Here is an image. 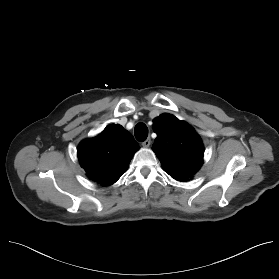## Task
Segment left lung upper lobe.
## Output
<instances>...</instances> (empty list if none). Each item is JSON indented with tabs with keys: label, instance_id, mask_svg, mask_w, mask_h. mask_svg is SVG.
<instances>
[{
	"label": "left lung upper lobe",
	"instance_id": "1",
	"mask_svg": "<svg viewBox=\"0 0 279 279\" xmlns=\"http://www.w3.org/2000/svg\"><path fill=\"white\" fill-rule=\"evenodd\" d=\"M157 138L153 151L166 173L178 181H188L203 163L204 147L201 138L186 122L170 114L153 121Z\"/></svg>",
	"mask_w": 279,
	"mask_h": 279
}]
</instances>
